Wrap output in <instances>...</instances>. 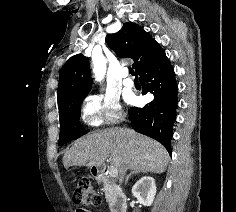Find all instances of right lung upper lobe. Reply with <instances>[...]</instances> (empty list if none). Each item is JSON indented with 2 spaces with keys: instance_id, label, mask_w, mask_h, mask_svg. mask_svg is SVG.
<instances>
[{
  "instance_id": "obj_1",
  "label": "right lung upper lobe",
  "mask_w": 236,
  "mask_h": 212,
  "mask_svg": "<svg viewBox=\"0 0 236 212\" xmlns=\"http://www.w3.org/2000/svg\"><path fill=\"white\" fill-rule=\"evenodd\" d=\"M106 42L120 58H131L136 73L145 65L159 45L140 26L128 22L122 29L106 38ZM92 83L89 60L82 54L72 56L62 67L57 91L59 110L75 99L87 95Z\"/></svg>"
}]
</instances>
